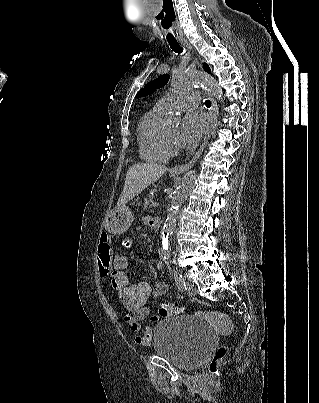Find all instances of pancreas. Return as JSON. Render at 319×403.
Wrapping results in <instances>:
<instances>
[{
    "label": "pancreas",
    "instance_id": "obj_1",
    "mask_svg": "<svg viewBox=\"0 0 319 403\" xmlns=\"http://www.w3.org/2000/svg\"><path fill=\"white\" fill-rule=\"evenodd\" d=\"M154 204V197L149 195L147 198L144 199L143 207L144 209L152 208Z\"/></svg>",
    "mask_w": 319,
    "mask_h": 403
}]
</instances>
